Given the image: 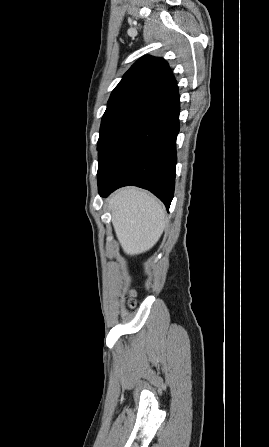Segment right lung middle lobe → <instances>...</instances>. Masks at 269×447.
I'll list each match as a JSON object with an SVG mask.
<instances>
[{"label": "right lung middle lobe", "mask_w": 269, "mask_h": 447, "mask_svg": "<svg viewBox=\"0 0 269 447\" xmlns=\"http://www.w3.org/2000/svg\"><path fill=\"white\" fill-rule=\"evenodd\" d=\"M134 110L124 109L108 114H104L101 121L100 136L97 144L99 154L104 149V145L109 136L113 133L119 123Z\"/></svg>", "instance_id": "dd1d6c3e"}]
</instances>
